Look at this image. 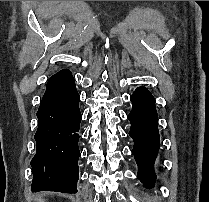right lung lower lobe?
Returning <instances> with one entry per match:
<instances>
[{
	"label": "right lung lower lobe",
	"mask_w": 209,
	"mask_h": 202,
	"mask_svg": "<svg viewBox=\"0 0 209 202\" xmlns=\"http://www.w3.org/2000/svg\"><path fill=\"white\" fill-rule=\"evenodd\" d=\"M79 101L75 80L68 69L50 77L37 112L32 191L77 192L78 131L82 119Z\"/></svg>",
	"instance_id": "1"
}]
</instances>
